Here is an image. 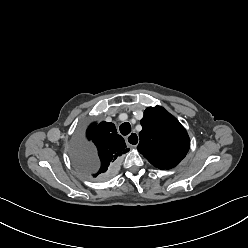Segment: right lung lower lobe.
Wrapping results in <instances>:
<instances>
[{"instance_id":"obj_1","label":"right lung lower lobe","mask_w":248,"mask_h":248,"mask_svg":"<svg viewBox=\"0 0 248 248\" xmlns=\"http://www.w3.org/2000/svg\"><path fill=\"white\" fill-rule=\"evenodd\" d=\"M115 165H116V164H115ZM115 165H113V166L111 167V169L107 172V174L113 171Z\"/></svg>"}]
</instances>
